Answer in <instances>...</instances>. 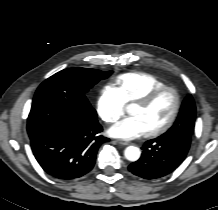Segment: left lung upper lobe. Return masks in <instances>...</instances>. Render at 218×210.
I'll return each instance as SVG.
<instances>
[{"instance_id":"1","label":"left lung upper lobe","mask_w":218,"mask_h":210,"mask_svg":"<svg viewBox=\"0 0 218 210\" xmlns=\"http://www.w3.org/2000/svg\"><path fill=\"white\" fill-rule=\"evenodd\" d=\"M196 119V107L192 95H188L179 113V116L174 125L161 137L167 139L186 137L190 142L194 131Z\"/></svg>"}]
</instances>
